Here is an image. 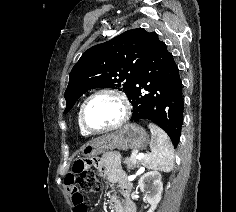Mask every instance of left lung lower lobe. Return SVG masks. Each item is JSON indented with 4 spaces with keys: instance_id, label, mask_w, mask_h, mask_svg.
Returning a JSON list of instances; mask_svg holds the SVG:
<instances>
[{
    "instance_id": "left-lung-lower-lobe-1",
    "label": "left lung lower lobe",
    "mask_w": 236,
    "mask_h": 212,
    "mask_svg": "<svg viewBox=\"0 0 236 212\" xmlns=\"http://www.w3.org/2000/svg\"><path fill=\"white\" fill-rule=\"evenodd\" d=\"M182 89L179 69L172 53L158 35L152 33L135 86L128 97L133 106L131 120L148 119L154 122L170 136L176 147L183 123Z\"/></svg>"
}]
</instances>
